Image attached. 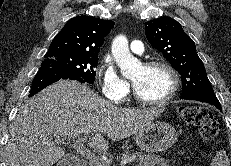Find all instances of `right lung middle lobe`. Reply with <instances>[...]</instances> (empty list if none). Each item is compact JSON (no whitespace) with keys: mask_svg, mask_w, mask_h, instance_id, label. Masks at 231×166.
Segmentation results:
<instances>
[{"mask_svg":"<svg viewBox=\"0 0 231 166\" xmlns=\"http://www.w3.org/2000/svg\"><path fill=\"white\" fill-rule=\"evenodd\" d=\"M41 67L54 68L66 73L82 77L84 81L92 84L95 80L98 64L97 56L84 54L46 53Z\"/></svg>","mask_w":231,"mask_h":166,"instance_id":"right-lung-middle-lobe-1","label":"right lung middle lobe"}]
</instances>
